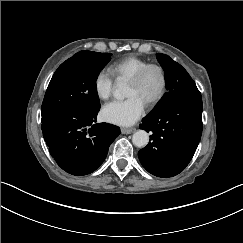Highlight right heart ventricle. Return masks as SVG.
Wrapping results in <instances>:
<instances>
[{
    "label": "right heart ventricle",
    "mask_w": 243,
    "mask_h": 243,
    "mask_svg": "<svg viewBox=\"0 0 243 243\" xmlns=\"http://www.w3.org/2000/svg\"><path fill=\"white\" fill-rule=\"evenodd\" d=\"M146 60L137 57H126L110 66V70L118 80H129L143 65Z\"/></svg>",
    "instance_id": "1"
}]
</instances>
